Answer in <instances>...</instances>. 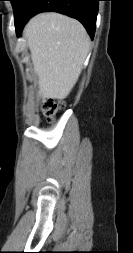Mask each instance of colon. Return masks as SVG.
<instances>
[{
	"instance_id": "5ec220e1",
	"label": "colon",
	"mask_w": 133,
	"mask_h": 253,
	"mask_svg": "<svg viewBox=\"0 0 133 253\" xmlns=\"http://www.w3.org/2000/svg\"><path fill=\"white\" fill-rule=\"evenodd\" d=\"M63 103L56 99H47L43 103V111L47 122L53 121L57 112L62 108Z\"/></svg>"
}]
</instances>
